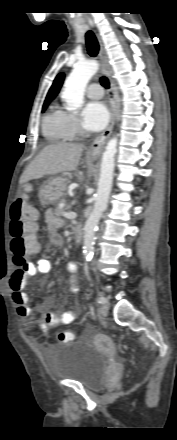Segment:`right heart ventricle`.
Segmentation results:
<instances>
[{"label": "right heart ventricle", "instance_id": "right-heart-ventricle-1", "mask_svg": "<svg viewBox=\"0 0 177 440\" xmlns=\"http://www.w3.org/2000/svg\"><path fill=\"white\" fill-rule=\"evenodd\" d=\"M42 133L52 143L64 142L70 138L65 130L63 111L58 107L52 106L43 117Z\"/></svg>", "mask_w": 177, "mask_h": 440}]
</instances>
